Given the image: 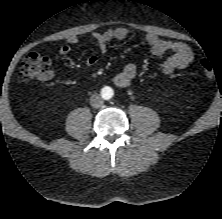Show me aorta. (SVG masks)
<instances>
[{
  "label": "aorta",
  "mask_w": 222,
  "mask_h": 219,
  "mask_svg": "<svg viewBox=\"0 0 222 219\" xmlns=\"http://www.w3.org/2000/svg\"><path fill=\"white\" fill-rule=\"evenodd\" d=\"M107 89L108 90L105 91V95L107 98H110L112 96L113 92H112V89H110V88H107Z\"/></svg>",
  "instance_id": "762f6f07"
}]
</instances>
